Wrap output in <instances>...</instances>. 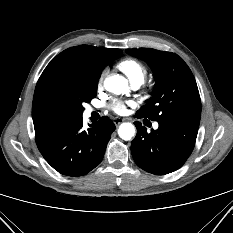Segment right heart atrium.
Segmentation results:
<instances>
[{
	"instance_id": "1",
	"label": "right heart atrium",
	"mask_w": 233,
	"mask_h": 233,
	"mask_svg": "<svg viewBox=\"0 0 233 233\" xmlns=\"http://www.w3.org/2000/svg\"><path fill=\"white\" fill-rule=\"evenodd\" d=\"M104 77H105V72L101 73V75L98 78V81H97V89L98 90L102 89V87H103Z\"/></svg>"
}]
</instances>
